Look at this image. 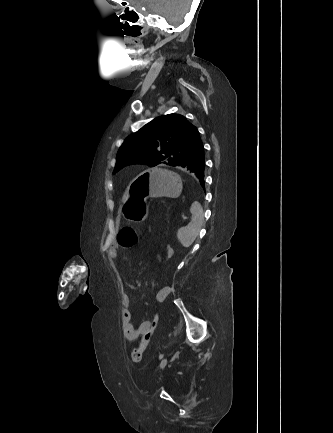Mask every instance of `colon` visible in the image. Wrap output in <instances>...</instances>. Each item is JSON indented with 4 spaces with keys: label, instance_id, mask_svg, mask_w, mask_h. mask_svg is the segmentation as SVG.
Returning a JSON list of instances; mask_svg holds the SVG:
<instances>
[{
    "label": "colon",
    "instance_id": "1",
    "mask_svg": "<svg viewBox=\"0 0 333 433\" xmlns=\"http://www.w3.org/2000/svg\"><path fill=\"white\" fill-rule=\"evenodd\" d=\"M118 244L122 248L134 247L138 242V236L135 230L131 227H123L117 235ZM165 257L171 260L174 257L175 249L169 246L166 249ZM159 322V314L157 311H153L152 318L150 320V330H156V325ZM152 332L144 334L140 340L139 345L132 350L131 358L134 362H140L143 357V353L149 343Z\"/></svg>",
    "mask_w": 333,
    "mask_h": 433
}]
</instances>
